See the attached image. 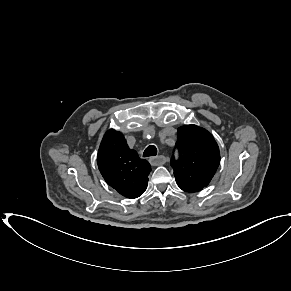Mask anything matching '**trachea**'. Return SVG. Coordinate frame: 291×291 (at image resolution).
I'll list each match as a JSON object with an SVG mask.
<instances>
[{
  "label": "trachea",
  "instance_id": "3493384b",
  "mask_svg": "<svg viewBox=\"0 0 291 291\" xmlns=\"http://www.w3.org/2000/svg\"><path fill=\"white\" fill-rule=\"evenodd\" d=\"M155 155H157V148L154 145L148 146L143 153L144 157L155 156Z\"/></svg>",
  "mask_w": 291,
  "mask_h": 291
}]
</instances>
